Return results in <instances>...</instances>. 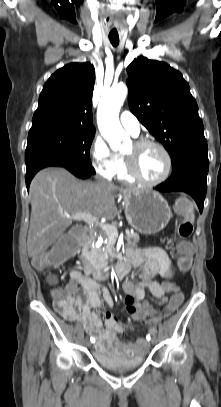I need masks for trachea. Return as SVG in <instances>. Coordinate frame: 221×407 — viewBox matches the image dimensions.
Returning <instances> with one entry per match:
<instances>
[{"label":"trachea","instance_id":"trachea-1","mask_svg":"<svg viewBox=\"0 0 221 407\" xmlns=\"http://www.w3.org/2000/svg\"><path fill=\"white\" fill-rule=\"evenodd\" d=\"M109 40L114 47H117L119 44V37L118 36H109Z\"/></svg>","mask_w":221,"mask_h":407}]
</instances>
